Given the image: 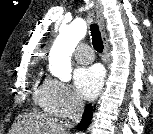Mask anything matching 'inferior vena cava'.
I'll return each mask as SVG.
<instances>
[{
	"label": "inferior vena cava",
	"instance_id": "1",
	"mask_svg": "<svg viewBox=\"0 0 153 134\" xmlns=\"http://www.w3.org/2000/svg\"><path fill=\"white\" fill-rule=\"evenodd\" d=\"M83 108L84 102L81 99L76 98L73 102V110L69 116V119L64 124L65 129L73 128L76 124L79 123L82 117Z\"/></svg>",
	"mask_w": 153,
	"mask_h": 134
}]
</instances>
